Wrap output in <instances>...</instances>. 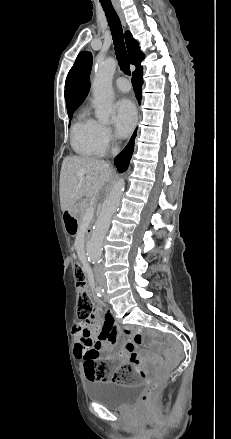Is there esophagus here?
Wrapping results in <instances>:
<instances>
[{"label":"esophagus","instance_id":"obj_1","mask_svg":"<svg viewBox=\"0 0 231 439\" xmlns=\"http://www.w3.org/2000/svg\"><path fill=\"white\" fill-rule=\"evenodd\" d=\"M117 12H118V15H119V18H120V20H121L122 25H123L124 27H126V22H125L124 14H123L122 11L119 10V9L117 10Z\"/></svg>","mask_w":231,"mask_h":439}]
</instances>
